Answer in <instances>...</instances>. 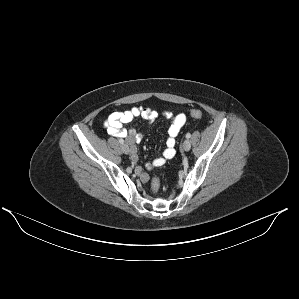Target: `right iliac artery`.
<instances>
[{"label": "right iliac artery", "instance_id": "obj_1", "mask_svg": "<svg viewBox=\"0 0 299 299\" xmlns=\"http://www.w3.org/2000/svg\"><path fill=\"white\" fill-rule=\"evenodd\" d=\"M119 143L120 144H124V140L123 139H119Z\"/></svg>", "mask_w": 299, "mask_h": 299}]
</instances>
